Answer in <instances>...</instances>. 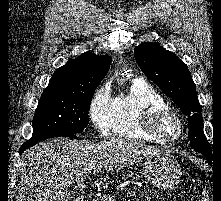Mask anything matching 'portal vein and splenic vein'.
I'll list each match as a JSON object with an SVG mask.
<instances>
[{
  "label": "portal vein and splenic vein",
  "instance_id": "obj_1",
  "mask_svg": "<svg viewBox=\"0 0 221 201\" xmlns=\"http://www.w3.org/2000/svg\"><path fill=\"white\" fill-rule=\"evenodd\" d=\"M94 171L98 172L99 168L95 169ZM81 182H82V180L79 181L80 186L84 187V185ZM127 195H129L130 197H134V196H136V193L135 192H128ZM102 201H115V197L114 196H104L102 198Z\"/></svg>",
  "mask_w": 221,
  "mask_h": 201
}]
</instances>
